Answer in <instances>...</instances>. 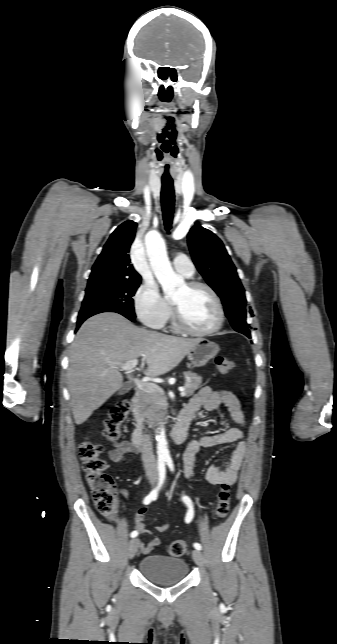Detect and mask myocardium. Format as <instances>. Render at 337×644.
Here are the masks:
<instances>
[{
	"instance_id": "obj_1",
	"label": "myocardium",
	"mask_w": 337,
	"mask_h": 644,
	"mask_svg": "<svg viewBox=\"0 0 337 644\" xmlns=\"http://www.w3.org/2000/svg\"><path fill=\"white\" fill-rule=\"evenodd\" d=\"M186 286L190 290L203 288L211 294L217 307V312H218L217 321L215 325L208 330L196 331L187 325V323L183 319V316L178 306L175 305L173 302H171V313H172V318H173L175 327L178 330L182 331L183 333H186L188 335L195 336V337H209L214 335L223 327V324L225 321V310L220 296L218 295V293L213 287H211L210 285L204 282L189 281L186 283Z\"/></svg>"
}]
</instances>
